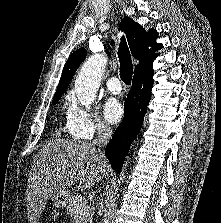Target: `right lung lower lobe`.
I'll return each mask as SVG.
<instances>
[{"label":"right lung lower lobe","instance_id":"1","mask_svg":"<svg viewBox=\"0 0 221 223\" xmlns=\"http://www.w3.org/2000/svg\"><path fill=\"white\" fill-rule=\"evenodd\" d=\"M154 72L134 75L125 100V115L105 148L110 164L120 173L131 143L138 135L151 99Z\"/></svg>","mask_w":221,"mask_h":223}]
</instances>
